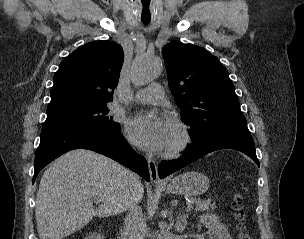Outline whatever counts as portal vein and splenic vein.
I'll return each mask as SVG.
<instances>
[{
    "label": "portal vein and splenic vein",
    "instance_id": "obj_1",
    "mask_svg": "<svg viewBox=\"0 0 304 239\" xmlns=\"http://www.w3.org/2000/svg\"><path fill=\"white\" fill-rule=\"evenodd\" d=\"M191 209H193V205L192 204H188L186 211H190Z\"/></svg>",
    "mask_w": 304,
    "mask_h": 239
}]
</instances>
